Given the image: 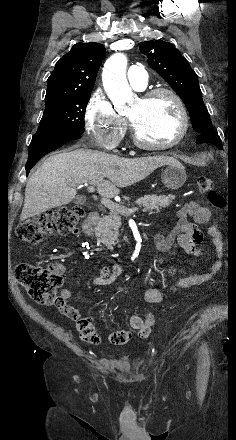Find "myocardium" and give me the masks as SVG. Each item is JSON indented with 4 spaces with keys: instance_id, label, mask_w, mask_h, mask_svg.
<instances>
[{
    "instance_id": "f54148a6",
    "label": "myocardium",
    "mask_w": 236,
    "mask_h": 440,
    "mask_svg": "<svg viewBox=\"0 0 236 440\" xmlns=\"http://www.w3.org/2000/svg\"><path fill=\"white\" fill-rule=\"evenodd\" d=\"M160 95L169 96L172 99V101L175 103V106L178 110V113L180 116V121H181L180 130H179L177 136L173 140H171L167 143H163V144H153V143H149V142L145 141L141 137V135L138 132L137 128L135 127L134 123L132 122L131 119H129V125L131 128L134 143L138 147L146 149V150H166V149L172 148V147L176 146L177 144H179L186 137L188 130H189V116H188V112L185 107V104L182 101V99L180 98V96L172 89L166 88V87H157V88L148 90L141 96V100L149 101L150 99L157 97V96H160Z\"/></svg>"
}]
</instances>
